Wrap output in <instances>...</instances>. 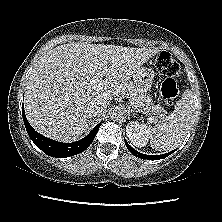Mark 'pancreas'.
<instances>
[{
  "mask_svg": "<svg viewBox=\"0 0 222 222\" xmlns=\"http://www.w3.org/2000/svg\"><path fill=\"white\" fill-rule=\"evenodd\" d=\"M123 94L129 98L130 103L137 112L154 118H163L167 114V111L159 104H153L152 99L147 93L140 92L133 86L126 87Z\"/></svg>",
  "mask_w": 222,
  "mask_h": 222,
  "instance_id": "1",
  "label": "pancreas"
}]
</instances>
